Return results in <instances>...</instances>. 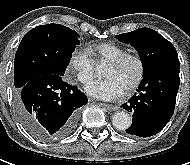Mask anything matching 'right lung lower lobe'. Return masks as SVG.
Returning a JSON list of instances; mask_svg holds the SVG:
<instances>
[{"label":"right lung lower lobe","mask_w":190,"mask_h":165,"mask_svg":"<svg viewBox=\"0 0 190 165\" xmlns=\"http://www.w3.org/2000/svg\"><path fill=\"white\" fill-rule=\"evenodd\" d=\"M85 94L64 81L62 75H40L19 92L16 111L24 127L36 138L51 141L68 136L76 127Z\"/></svg>","instance_id":"98d812e1"}]
</instances>
